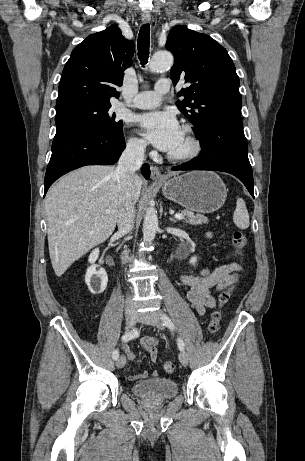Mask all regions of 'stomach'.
<instances>
[{"instance_id": "stomach-1", "label": "stomach", "mask_w": 305, "mask_h": 461, "mask_svg": "<svg viewBox=\"0 0 305 461\" xmlns=\"http://www.w3.org/2000/svg\"><path fill=\"white\" fill-rule=\"evenodd\" d=\"M163 195L190 211L211 213L222 207L227 190L212 171H191L159 183Z\"/></svg>"}]
</instances>
